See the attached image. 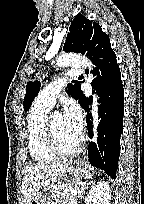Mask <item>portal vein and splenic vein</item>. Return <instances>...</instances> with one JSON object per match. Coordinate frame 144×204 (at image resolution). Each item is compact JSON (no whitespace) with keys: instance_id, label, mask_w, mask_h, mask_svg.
<instances>
[{"instance_id":"18ae733b","label":"portal vein and splenic vein","mask_w":144,"mask_h":204,"mask_svg":"<svg viewBox=\"0 0 144 204\" xmlns=\"http://www.w3.org/2000/svg\"><path fill=\"white\" fill-rule=\"evenodd\" d=\"M64 193L71 194L72 196L77 195V191L75 189H65Z\"/></svg>"}]
</instances>
